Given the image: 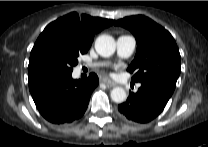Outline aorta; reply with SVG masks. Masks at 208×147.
Here are the masks:
<instances>
[{"label":"aorta","mask_w":208,"mask_h":147,"mask_svg":"<svg viewBox=\"0 0 208 147\" xmlns=\"http://www.w3.org/2000/svg\"><path fill=\"white\" fill-rule=\"evenodd\" d=\"M116 49V42L110 35H100L95 41L96 52L103 56L109 57L114 54ZM111 99L116 103H122L127 99L126 91L121 87H115L111 91Z\"/></svg>","instance_id":"aorta-1"}]
</instances>
